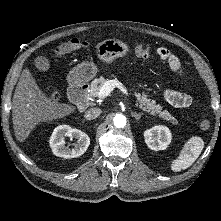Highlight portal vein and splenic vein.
I'll list each match as a JSON object with an SVG mask.
<instances>
[{
	"label": "portal vein and splenic vein",
	"mask_w": 221,
	"mask_h": 221,
	"mask_svg": "<svg viewBox=\"0 0 221 221\" xmlns=\"http://www.w3.org/2000/svg\"><path fill=\"white\" fill-rule=\"evenodd\" d=\"M114 88H119L123 92V94L128 96L127 89L121 82H119L118 80H108L101 86L97 97H107L113 91Z\"/></svg>",
	"instance_id": "1"
}]
</instances>
